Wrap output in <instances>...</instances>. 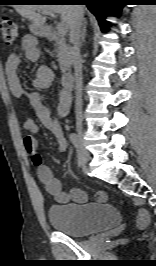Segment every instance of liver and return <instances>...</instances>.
<instances>
[{
  "instance_id": "6515ba94",
  "label": "liver",
  "mask_w": 156,
  "mask_h": 266,
  "mask_svg": "<svg viewBox=\"0 0 156 266\" xmlns=\"http://www.w3.org/2000/svg\"><path fill=\"white\" fill-rule=\"evenodd\" d=\"M18 11L23 17L32 21V27L40 29H44L46 22V17L41 15L40 11L59 13L62 23L70 30L75 13L77 12L83 18L85 7L80 5H20Z\"/></svg>"
}]
</instances>
